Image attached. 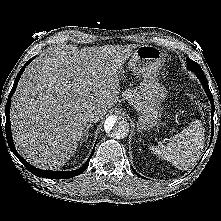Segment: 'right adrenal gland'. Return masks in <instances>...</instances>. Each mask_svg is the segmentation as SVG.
Returning a JSON list of instances; mask_svg holds the SVG:
<instances>
[{
  "instance_id": "2a0ac1e0",
  "label": "right adrenal gland",
  "mask_w": 221,
  "mask_h": 221,
  "mask_svg": "<svg viewBox=\"0 0 221 221\" xmlns=\"http://www.w3.org/2000/svg\"><path fill=\"white\" fill-rule=\"evenodd\" d=\"M93 126V124H89L87 127H86V130L84 131V135H83V138H82V141L81 143L87 141L88 137H89V129Z\"/></svg>"
}]
</instances>
